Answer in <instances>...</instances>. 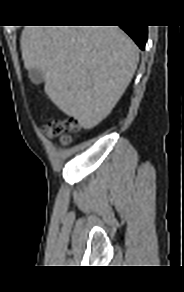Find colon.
Masks as SVG:
<instances>
[{"instance_id":"colon-1","label":"colon","mask_w":184,"mask_h":292,"mask_svg":"<svg viewBox=\"0 0 184 292\" xmlns=\"http://www.w3.org/2000/svg\"><path fill=\"white\" fill-rule=\"evenodd\" d=\"M79 130L78 122L73 118L53 120L44 128V133L49 137H60L64 144L71 141L72 136Z\"/></svg>"}]
</instances>
